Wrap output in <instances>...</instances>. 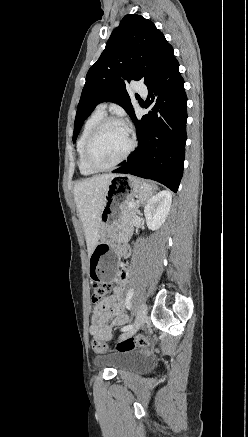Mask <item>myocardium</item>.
<instances>
[{"label":"myocardium","mask_w":248,"mask_h":437,"mask_svg":"<svg viewBox=\"0 0 248 437\" xmlns=\"http://www.w3.org/2000/svg\"><path fill=\"white\" fill-rule=\"evenodd\" d=\"M111 123L120 124L126 128V130L128 132V136H129V145H128L127 149L125 150V152L121 155V157L119 159H117L114 163H112L108 166H100V165L96 164L92 158V147H93V144H94L96 138L98 137V135L102 131V129ZM135 146H136V140H135V137H134L132 131L128 128V126L121 119L116 118V117H111V116L103 117L94 126V128L92 129L91 133L89 134V136L86 140L85 147H84L85 162L90 169H92L96 172L108 171V170L115 168L116 166L121 164L123 161H125L128 158V156L132 153Z\"/></svg>","instance_id":"myocardium-1"}]
</instances>
